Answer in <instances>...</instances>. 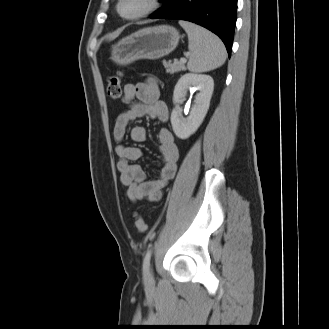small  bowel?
I'll use <instances>...</instances> for the list:
<instances>
[{"label": "small bowel", "instance_id": "c3829d8e", "mask_svg": "<svg viewBox=\"0 0 329 329\" xmlns=\"http://www.w3.org/2000/svg\"><path fill=\"white\" fill-rule=\"evenodd\" d=\"M122 102L127 107L117 116L113 127V138L117 143L116 166L120 172V180L127 187V196L131 201H157L161 198L162 189L175 176L177 170L179 149L172 132L167 128L158 131L161 164L158 177L153 180H147L143 168L133 162L142 157V151L125 145L123 141L131 121L142 117L167 121L168 107L160 99L159 85L154 79L126 84L123 88ZM128 135L131 141L140 143L146 140L147 131L144 126L137 125L129 129Z\"/></svg>", "mask_w": 329, "mask_h": 329}]
</instances>
